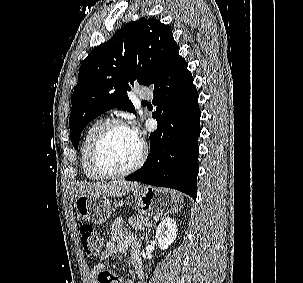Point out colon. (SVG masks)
Here are the masks:
<instances>
[{"label":"colon","mask_w":303,"mask_h":283,"mask_svg":"<svg viewBox=\"0 0 303 283\" xmlns=\"http://www.w3.org/2000/svg\"><path fill=\"white\" fill-rule=\"evenodd\" d=\"M81 244L89 257H97L105 244V235L90 226H84L80 232ZM98 283H119L118 276L111 271L104 270L97 276Z\"/></svg>","instance_id":"colon-1"}]
</instances>
